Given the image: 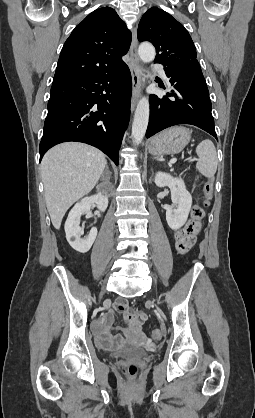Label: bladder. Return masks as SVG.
Returning <instances> with one entry per match:
<instances>
[{"label": "bladder", "instance_id": "bladder-1", "mask_svg": "<svg viewBox=\"0 0 255 418\" xmlns=\"http://www.w3.org/2000/svg\"><path fill=\"white\" fill-rule=\"evenodd\" d=\"M115 358H119V357H145L147 356V353L142 350V349H138V348H130V349H126V350H122L119 352H116L112 355Z\"/></svg>", "mask_w": 255, "mask_h": 418}]
</instances>
